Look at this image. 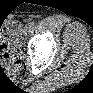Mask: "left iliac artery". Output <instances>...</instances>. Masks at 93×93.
Masks as SVG:
<instances>
[{
  "label": "left iliac artery",
  "mask_w": 93,
  "mask_h": 93,
  "mask_svg": "<svg viewBox=\"0 0 93 93\" xmlns=\"http://www.w3.org/2000/svg\"><path fill=\"white\" fill-rule=\"evenodd\" d=\"M32 26H35V22L34 21L30 23V27H32Z\"/></svg>",
  "instance_id": "left-iliac-artery-1"
}]
</instances>
